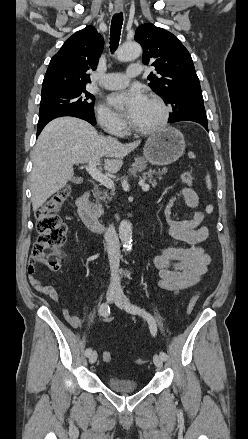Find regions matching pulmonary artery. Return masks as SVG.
<instances>
[{
    "label": "pulmonary artery",
    "instance_id": "1",
    "mask_svg": "<svg viewBox=\"0 0 248 439\" xmlns=\"http://www.w3.org/2000/svg\"><path fill=\"white\" fill-rule=\"evenodd\" d=\"M141 74V67L138 63L130 65L125 74L107 73L103 75L100 85L105 89H119L125 87L130 78L137 77Z\"/></svg>",
    "mask_w": 248,
    "mask_h": 439
}]
</instances>
